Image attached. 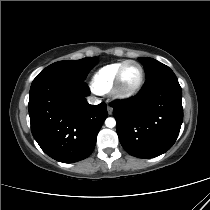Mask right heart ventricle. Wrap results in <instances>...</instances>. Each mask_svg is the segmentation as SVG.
Listing matches in <instances>:
<instances>
[{"mask_svg": "<svg viewBox=\"0 0 210 210\" xmlns=\"http://www.w3.org/2000/svg\"><path fill=\"white\" fill-rule=\"evenodd\" d=\"M124 61L113 62L101 67L92 77L91 86L99 94L112 89L116 73Z\"/></svg>", "mask_w": 210, "mask_h": 210, "instance_id": "right-heart-ventricle-1", "label": "right heart ventricle"}]
</instances>
